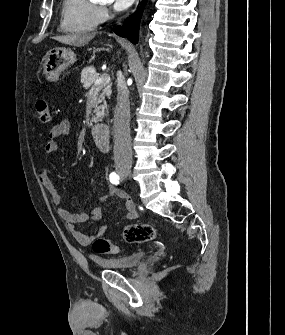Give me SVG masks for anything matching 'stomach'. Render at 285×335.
<instances>
[{
    "label": "stomach",
    "instance_id": "1",
    "mask_svg": "<svg viewBox=\"0 0 285 335\" xmlns=\"http://www.w3.org/2000/svg\"><path fill=\"white\" fill-rule=\"evenodd\" d=\"M75 62H77V58L73 50L53 48L43 58V74L48 82H57L61 72Z\"/></svg>",
    "mask_w": 285,
    "mask_h": 335
}]
</instances>
